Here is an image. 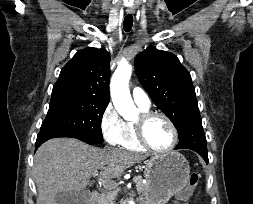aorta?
<instances>
[{
    "label": "aorta",
    "instance_id": "obj_1",
    "mask_svg": "<svg viewBox=\"0 0 253 204\" xmlns=\"http://www.w3.org/2000/svg\"><path fill=\"white\" fill-rule=\"evenodd\" d=\"M132 73V66L127 62H121L115 70L111 82V98L117 112L128 121L137 119L138 109L133 103L128 83ZM129 204H134L129 201Z\"/></svg>",
    "mask_w": 253,
    "mask_h": 204
}]
</instances>
